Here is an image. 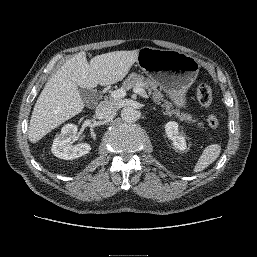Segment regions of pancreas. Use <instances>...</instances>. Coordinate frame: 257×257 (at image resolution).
Segmentation results:
<instances>
[{
  "label": "pancreas",
  "mask_w": 257,
  "mask_h": 257,
  "mask_svg": "<svg viewBox=\"0 0 257 257\" xmlns=\"http://www.w3.org/2000/svg\"><path fill=\"white\" fill-rule=\"evenodd\" d=\"M137 86L147 89L149 94L152 96V100L156 104L160 105L162 101L163 104H161V106L166 110L167 115H174L178 117L181 121H185L187 123H195L197 121L195 119H192V116L190 114L180 112L179 110H174L172 108V104L164 100L163 94L161 93V90L158 89V83L155 80L140 74L132 73L123 82V88L126 90L132 88L134 89ZM198 127L203 128V124L198 123Z\"/></svg>",
  "instance_id": "obj_1"
}]
</instances>
